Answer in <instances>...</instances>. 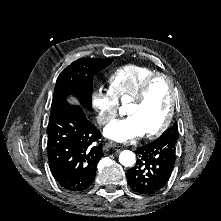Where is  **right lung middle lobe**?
<instances>
[{
    "instance_id": "right-lung-middle-lobe-1",
    "label": "right lung middle lobe",
    "mask_w": 221,
    "mask_h": 221,
    "mask_svg": "<svg viewBox=\"0 0 221 221\" xmlns=\"http://www.w3.org/2000/svg\"><path fill=\"white\" fill-rule=\"evenodd\" d=\"M113 61L109 59H78L66 67L58 76L51 112L59 105L66 103L69 95L79 98L83 107L91 109L93 76Z\"/></svg>"
}]
</instances>
